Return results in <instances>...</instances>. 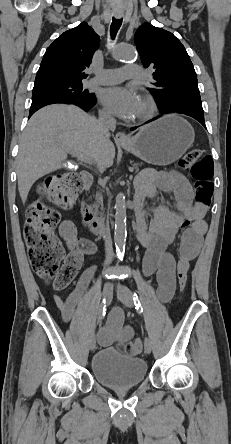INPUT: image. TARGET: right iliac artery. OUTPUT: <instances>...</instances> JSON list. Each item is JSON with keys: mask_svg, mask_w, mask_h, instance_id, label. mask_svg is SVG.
<instances>
[{"mask_svg": "<svg viewBox=\"0 0 231 444\" xmlns=\"http://www.w3.org/2000/svg\"><path fill=\"white\" fill-rule=\"evenodd\" d=\"M105 303H106V300H105V298L103 299V301H102V304H103V309L99 312V316H98V320H97V325H100L101 324V320L103 319V317L105 316V314H106V306H105Z\"/></svg>", "mask_w": 231, "mask_h": 444, "instance_id": "82829eb1", "label": "right iliac artery"}]
</instances>
